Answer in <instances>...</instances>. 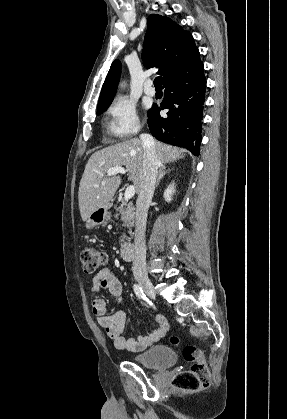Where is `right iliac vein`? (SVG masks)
<instances>
[{"label": "right iliac vein", "instance_id": "right-iliac-vein-1", "mask_svg": "<svg viewBox=\"0 0 287 419\" xmlns=\"http://www.w3.org/2000/svg\"><path fill=\"white\" fill-rule=\"evenodd\" d=\"M136 280L139 283V285L143 288L145 293L150 298L154 299L155 298V293H154V288H153V285H152L150 279L146 276H137Z\"/></svg>", "mask_w": 287, "mask_h": 419}]
</instances>
